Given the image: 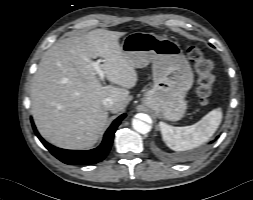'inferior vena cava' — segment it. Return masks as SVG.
<instances>
[{
  "mask_svg": "<svg viewBox=\"0 0 253 200\" xmlns=\"http://www.w3.org/2000/svg\"><path fill=\"white\" fill-rule=\"evenodd\" d=\"M114 105V100L112 98H105L103 100V106L106 110H111Z\"/></svg>",
  "mask_w": 253,
  "mask_h": 200,
  "instance_id": "inferior-vena-cava-1",
  "label": "inferior vena cava"
}]
</instances>
